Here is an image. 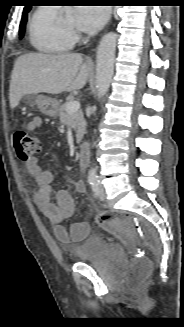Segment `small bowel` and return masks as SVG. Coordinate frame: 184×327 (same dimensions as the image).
<instances>
[{"label": "small bowel", "mask_w": 184, "mask_h": 327, "mask_svg": "<svg viewBox=\"0 0 184 327\" xmlns=\"http://www.w3.org/2000/svg\"><path fill=\"white\" fill-rule=\"evenodd\" d=\"M42 123V118L35 116L27 123V129L30 132H36L41 128ZM26 168L37 185V190L33 194V201L44 216L53 224L56 238L63 242L77 241L85 238L89 232V224L87 222H75L69 227L60 224L73 215L75 204L65 190H58L55 194V200H51V192L55 180L54 175L50 171L44 170L36 158L26 162ZM76 190L78 192L85 190L83 182L76 184Z\"/></svg>", "instance_id": "small-bowel-1"}]
</instances>
